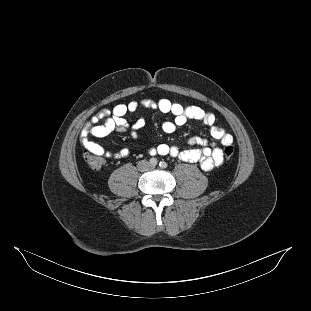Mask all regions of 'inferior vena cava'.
Listing matches in <instances>:
<instances>
[{
    "instance_id": "obj_1",
    "label": "inferior vena cava",
    "mask_w": 311,
    "mask_h": 311,
    "mask_svg": "<svg viewBox=\"0 0 311 311\" xmlns=\"http://www.w3.org/2000/svg\"><path fill=\"white\" fill-rule=\"evenodd\" d=\"M137 168H138L139 171L147 172L150 169V164H149V162H147L145 160H140L137 163Z\"/></svg>"
}]
</instances>
